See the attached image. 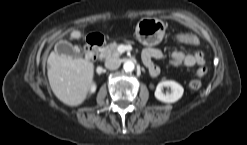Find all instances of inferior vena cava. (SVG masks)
<instances>
[{
	"label": "inferior vena cava",
	"mask_w": 247,
	"mask_h": 145,
	"mask_svg": "<svg viewBox=\"0 0 247 145\" xmlns=\"http://www.w3.org/2000/svg\"><path fill=\"white\" fill-rule=\"evenodd\" d=\"M120 60L116 58H110L105 61V67L109 70H116L120 67Z\"/></svg>",
	"instance_id": "1"
}]
</instances>
